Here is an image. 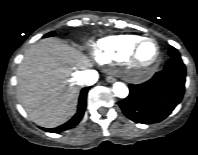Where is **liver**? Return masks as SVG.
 Returning a JSON list of instances; mask_svg holds the SVG:
<instances>
[{
  "instance_id": "obj_1",
  "label": "liver",
  "mask_w": 198,
  "mask_h": 155,
  "mask_svg": "<svg viewBox=\"0 0 198 155\" xmlns=\"http://www.w3.org/2000/svg\"><path fill=\"white\" fill-rule=\"evenodd\" d=\"M88 59L57 39L32 46L17 69L19 103L43 127L66 122L76 110L79 69Z\"/></svg>"
}]
</instances>
